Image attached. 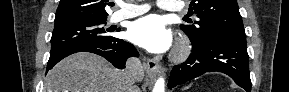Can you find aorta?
I'll list each match as a JSON object with an SVG mask.
<instances>
[{
    "instance_id": "1",
    "label": "aorta",
    "mask_w": 289,
    "mask_h": 92,
    "mask_svg": "<svg viewBox=\"0 0 289 92\" xmlns=\"http://www.w3.org/2000/svg\"><path fill=\"white\" fill-rule=\"evenodd\" d=\"M153 92H165V80L163 77H159L156 80Z\"/></svg>"
}]
</instances>
